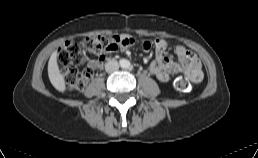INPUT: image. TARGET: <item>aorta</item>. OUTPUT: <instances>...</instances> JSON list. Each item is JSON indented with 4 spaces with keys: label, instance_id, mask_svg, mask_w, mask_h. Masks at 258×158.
Returning a JSON list of instances; mask_svg holds the SVG:
<instances>
[{
    "label": "aorta",
    "instance_id": "762f6f07",
    "mask_svg": "<svg viewBox=\"0 0 258 158\" xmlns=\"http://www.w3.org/2000/svg\"><path fill=\"white\" fill-rule=\"evenodd\" d=\"M121 67L124 68V69H128L130 67V61L129 60H126V59H123L121 60Z\"/></svg>",
    "mask_w": 258,
    "mask_h": 158
}]
</instances>
